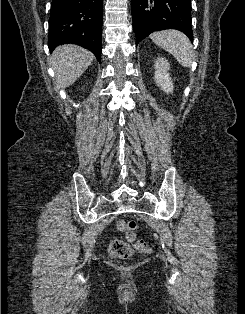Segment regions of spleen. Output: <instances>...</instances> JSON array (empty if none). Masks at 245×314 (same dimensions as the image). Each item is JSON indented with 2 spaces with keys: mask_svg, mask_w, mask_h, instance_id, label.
I'll list each match as a JSON object with an SVG mask.
<instances>
[{
  "mask_svg": "<svg viewBox=\"0 0 245 314\" xmlns=\"http://www.w3.org/2000/svg\"><path fill=\"white\" fill-rule=\"evenodd\" d=\"M150 39L159 47L166 50L183 67H191L193 63V49L186 35L177 30L157 31L150 35Z\"/></svg>",
  "mask_w": 245,
  "mask_h": 314,
  "instance_id": "spleen-1",
  "label": "spleen"
}]
</instances>
